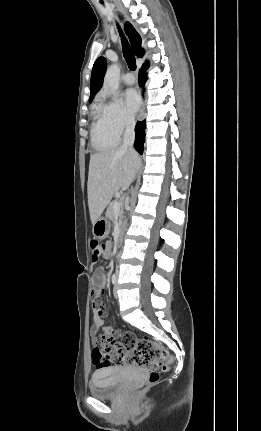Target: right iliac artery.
Returning a JSON list of instances; mask_svg holds the SVG:
<instances>
[{"label":"right iliac artery","instance_id":"obj_1","mask_svg":"<svg viewBox=\"0 0 261 431\" xmlns=\"http://www.w3.org/2000/svg\"><path fill=\"white\" fill-rule=\"evenodd\" d=\"M116 281H117V276H116V274H113L112 275V284H115Z\"/></svg>","mask_w":261,"mask_h":431}]
</instances>
